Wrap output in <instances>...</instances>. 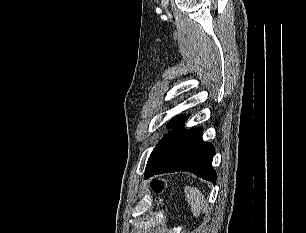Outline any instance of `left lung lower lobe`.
<instances>
[{
    "mask_svg": "<svg viewBox=\"0 0 306 233\" xmlns=\"http://www.w3.org/2000/svg\"><path fill=\"white\" fill-rule=\"evenodd\" d=\"M182 118L154 148L145 170L144 178L155 174L188 171L216 183V173L212 167L214 146L202 140L203 128L184 130Z\"/></svg>",
    "mask_w": 306,
    "mask_h": 233,
    "instance_id": "obj_1",
    "label": "left lung lower lobe"
}]
</instances>
